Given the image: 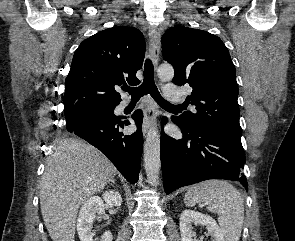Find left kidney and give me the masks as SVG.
I'll return each instance as SVG.
<instances>
[{
    "instance_id": "1",
    "label": "left kidney",
    "mask_w": 295,
    "mask_h": 241,
    "mask_svg": "<svg viewBox=\"0 0 295 241\" xmlns=\"http://www.w3.org/2000/svg\"><path fill=\"white\" fill-rule=\"evenodd\" d=\"M193 224L205 226L207 234L211 236V241H225L221 229L212 217L189 209L184 210L180 216L179 226L182 241H200L195 237Z\"/></svg>"
}]
</instances>
